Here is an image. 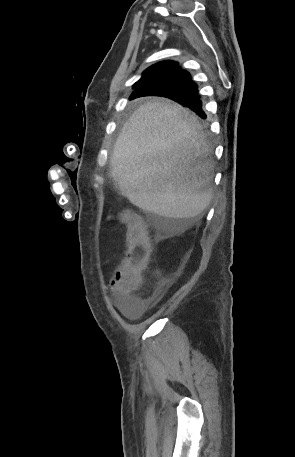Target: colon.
<instances>
[{
  "mask_svg": "<svg viewBox=\"0 0 295 457\" xmlns=\"http://www.w3.org/2000/svg\"><path fill=\"white\" fill-rule=\"evenodd\" d=\"M122 219L128 227V248L115 276L121 279L122 292L129 294L140 284L141 273L147 265L151 245L144 223L138 215L125 213Z\"/></svg>",
  "mask_w": 295,
  "mask_h": 457,
  "instance_id": "colon-1",
  "label": "colon"
}]
</instances>
